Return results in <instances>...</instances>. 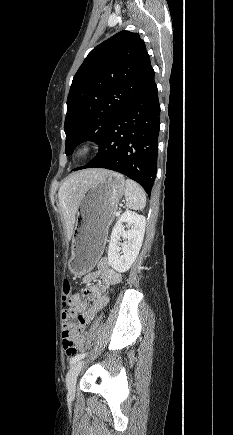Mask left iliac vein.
Wrapping results in <instances>:
<instances>
[{"mask_svg":"<svg viewBox=\"0 0 233 435\" xmlns=\"http://www.w3.org/2000/svg\"><path fill=\"white\" fill-rule=\"evenodd\" d=\"M82 366H83V361H81V360L76 361L70 367V369L66 375V386H67V390H68L70 395H73L75 393L77 376H78L79 372L81 371Z\"/></svg>","mask_w":233,"mask_h":435,"instance_id":"left-iliac-vein-1","label":"left iliac vein"}]
</instances>
